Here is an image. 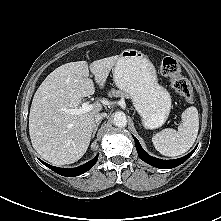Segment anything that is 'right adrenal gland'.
Segmentation results:
<instances>
[{
  "mask_svg": "<svg viewBox=\"0 0 221 221\" xmlns=\"http://www.w3.org/2000/svg\"><path fill=\"white\" fill-rule=\"evenodd\" d=\"M100 123H101V122H97V123L94 125V130H93V133H92V138L95 136L96 131H97V129H98Z\"/></svg>",
  "mask_w": 221,
  "mask_h": 221,
  "instance_id": "right-adrenal-gland-1",
  "label": "right adrenal gland"
}]
</instances>
